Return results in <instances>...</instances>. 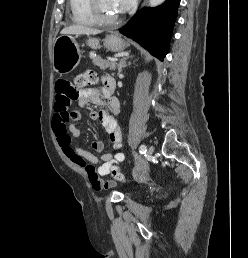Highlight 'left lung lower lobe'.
<instances>
[{"mask_svg": "<svg viewBox=\"0 0 248 258\" xmlns=\"http://www.w3.org/2000/svg\"><path fill=\"white\" fill-rule=\"evenodd\" d=\"M179 3L180 0H166L161 6L141 9L120 29V33L163 60L168 52Z\"/></svg>", "mask_w": 248, "mask_h": 258, "instance_id": "obj_1", "label": "left lung lower lobe"}]
</instances>
